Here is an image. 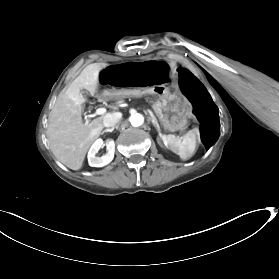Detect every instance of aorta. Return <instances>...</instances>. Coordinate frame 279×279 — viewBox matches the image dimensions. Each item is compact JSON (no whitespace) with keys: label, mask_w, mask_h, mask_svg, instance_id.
Segmentation results:
<instances>
[{"label":"aorta","mask_w":279,"mask_h":279,"mask_svg":"<svg viewBox=\"0 0 279 279\" xmlns=\"http://www.w3.org/2000/svg\"><path fill=\"white\" fill-rule=\"evenodd\" d=\"M129 120H130V123L132 126L138 127V126L142 125V123L144 122V117L141 114L136 113V114L131 115Z\"/></svg>","instance_id":"aorta-1"}]
</instances>
